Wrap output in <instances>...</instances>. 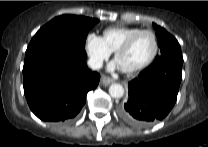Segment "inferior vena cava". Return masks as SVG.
<instances>
[{
    "label": "inferior vena cava",
    "mask_w": 208,
    "mask_h": 147,
    "mask_svg": "<svg viewBox=\"0 0 208 147\" xmlns=\"http://www.w3.org/2000/svg\"><path fill=\"white\" fill-rule=\"evenodd\" d=\"M102 63V59L97 57H92L87 62L88 66L93 70L100 69L102 67Z\"/></svg>",
    "instance_id": "602c4592"
}]
</instances>
